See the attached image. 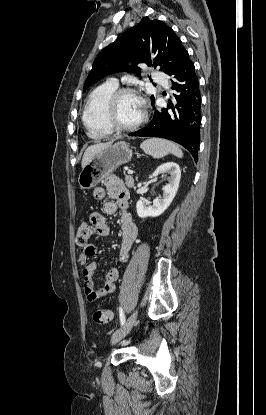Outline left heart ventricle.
<instances>
[{
  "label": "left heart ventricle",
  "mask_w": 266,
  "mask_h": 415,
  "mask_svg": "<svg viewBox=\"0 0 266 415\" xmlns=\"http://www.w3.org/2000/svg\"><path fill=\"white\" fill-rule=\"evenodd\" d=\"M142 113V105L136 96L126 94L119 99L116 107V117L121 124H135L140 120Z\"/></svg>",
  "instance_id": "left-heart-ventricle-1"
}]
</instances>
